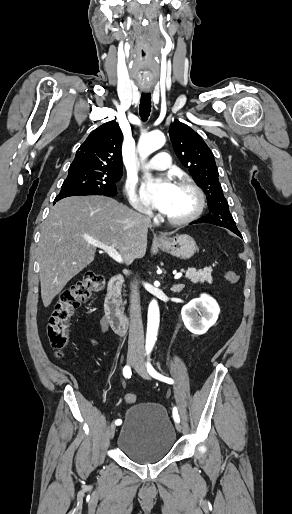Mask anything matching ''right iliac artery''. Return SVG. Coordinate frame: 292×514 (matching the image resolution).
Returning a JSON list of instances; mask_svg holds the SVG:
<instances>
[{"label":"right iliac artery","instance_id":"obj_1","mask_svg":"<svg viewBox=\"0 0 292 514\" xmlns=\"http://www.w3.org/2000/svg\"><path fill=\"white\" fill-rule=\"evenodd\" d=\"M123 375L125 378L129 379L131 377V368L129 366H125L123 368ZM122 423V420L121 419H117L115 421V424L116 425H120Z\"/></svg>","mask_w":292,"mask_h":514}]
</instances>
